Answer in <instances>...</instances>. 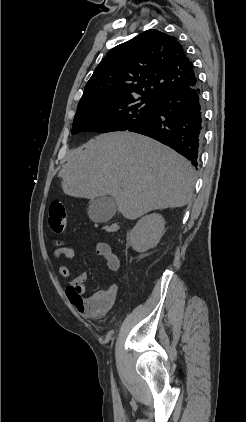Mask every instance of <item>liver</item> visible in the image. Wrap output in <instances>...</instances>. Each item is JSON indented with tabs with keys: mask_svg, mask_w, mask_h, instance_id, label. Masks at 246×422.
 Wrapping results in <instances>:
<instances>
[{
	"mask_svg": "<svg viewBox=\"0 0 246 422\" xmlns=\"http://www.w3.org/2000/svg\"><path fill=\"white\" fill-rule=\"evenodd\" d=\"M58 176L69 196L111 195L135 220L157 209L183 207L195 183L191 163L154 139L131 132L97 136L75 151Z\"/></svg>",
	"mask_w": 246,
	"mask_h": 422,
	"instance_id": "obj_1",
	"label": "liver"
}]
</instances>
